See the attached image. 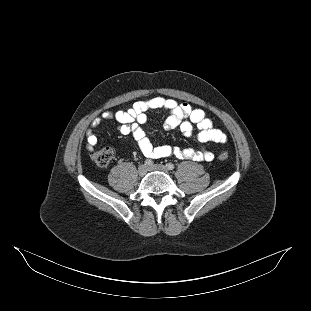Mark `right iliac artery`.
<instances>
[{"mask_svg":"<svg viewBox=\"0 0 311 311\" xmlns=\"http://www.w3.org/2000/svg\"><path fill=\"white\" fill-rule=\"evenodd\" d=\"M152 164H153V161L150 160V159H147V160L145 161V165H147V166H151Z\"/></svg>","mask_w":311,"mask_h":311,"instance_id":"obj_1","label":"right iliac artery"}]
</instances>
